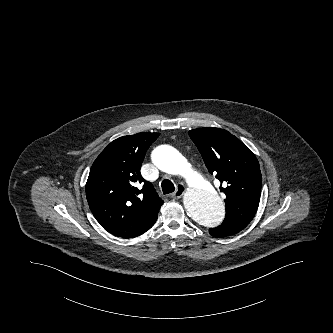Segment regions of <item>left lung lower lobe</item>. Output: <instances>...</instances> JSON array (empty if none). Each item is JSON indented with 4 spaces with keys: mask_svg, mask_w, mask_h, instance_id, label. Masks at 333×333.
Instances as JSON below:
<instances>
[{
    "mask_svg": "<svg viewBox=\"0 0 333 333\" xmlns=\"http://www.w3.org/2000/svg\"><path fill=\"white\" fill-rule=\"evenodd\" d=\"M245 227L246 225L237 223L235 221L227 220L223 221V223L216 228H210L209 233L214 237H225L236 234Z\"/></svg>",
    "mask_w": 333,
    "mask_h": 333,
    "instance_id": "obj_1",
    "label": "left lung lower lobe"
}]
</instances>
